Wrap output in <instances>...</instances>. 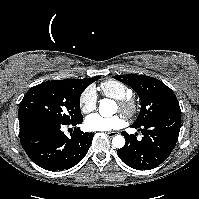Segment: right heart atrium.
Listing matches in <instances>:
<instances>
[{"label":"right heart atrium","mask_w":199,"mask_h":199,"mask_svg":"<svg viewBox=\"0 0 199 199\" xmlns=\"http://www.w3.org/2000/svg\"><path fill=\"white\" fill-rule=\"evenodd\" d=\"M79 105L83 113L92 112L96 108L97 95L92 87H88L82 92Z\"/></svg>","instance_id":"obj_1"}]
</instances>
